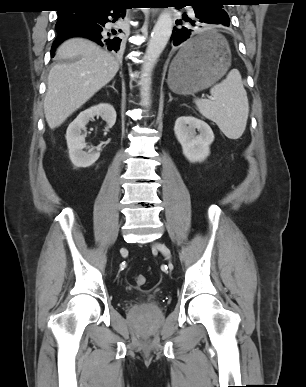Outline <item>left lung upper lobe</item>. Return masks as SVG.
<instances>
[{"instance_id":"obj_1","label":"left lung upper lobe","mask_w":306,"mask_h":387,"mask_svg":"<svg viewBox=\"0 0 306 387\" xmlns=\"http://www.w3.org/2000/svg\"><path fill=\"white\" fill-rule=\"evenodd\" d=\"M184 1H192V2H210L212 4H214L218 10V13L220 14V16L224 19H229L227 13L225 12V10L223 9V2H225V0H184Z\"/></svg>"}]
</instances>
